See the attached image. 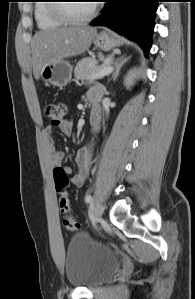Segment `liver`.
<instances>
[{"mask_svg":"<svg viewBox=\"0 0 195 299\" xmlns=\"http://www.w3.org/2000/svg\"><path fill=\"white\" fill-rule=\"evenodd\" d=\"M96 35V28L89 26L60 27L37 32L31 41L35 79L40 78L46 64L83 54Z\"/></svg>","mask_w":195,"mask_h":299,"instance_id":"6515ba94","label":"liver"}]
</instances>
